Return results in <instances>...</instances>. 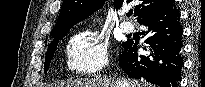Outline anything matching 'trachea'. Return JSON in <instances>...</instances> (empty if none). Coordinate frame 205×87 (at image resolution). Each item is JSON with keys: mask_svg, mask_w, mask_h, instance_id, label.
<instances>
[{"mask_svg": "<svg viewBox=\"0 0 205 87\" xmlns=\"http://www.w3.org/2000/svg\"><path fill=\"white\" fill-rule=\"evenodd\" d=\"M132 14H133V11H129V12L127 13V16L130 17Z\"/></svg>", "mask_w": 205, "mask_h": 87, "instance_id": "obj_1", "label": "trachea"}]
</instances>
